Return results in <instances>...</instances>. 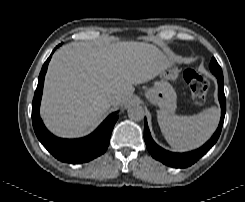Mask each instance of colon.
<instances>
[{
  "mask_svg": "<svg viewBox=\"0 0 245 202\" xmlns=\"http://www.w3.org/2000/svg\"><path fill=\"white\" fill-rule=\"evenodd\" d=\"M183 77L186 83L190 86L195 102H203L206 98L209 86L208 80L191 68H188L183 72Z\"/></svg>",
  "mask_w": 245,
  "mask_h": 202,
  "instance_id": "1",
  "label": "colon"
}]
</instances>
